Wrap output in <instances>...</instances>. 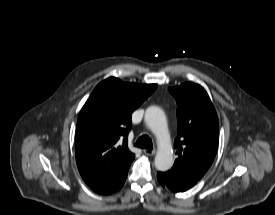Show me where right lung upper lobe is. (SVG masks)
<instances>
[{"label": "right lung upper lobe", "instance_id": "right-lung-upper-lobe-1", "mask_svg": "<svg viewBox=\"0 0 275 215\" xmlns=\"http://www.w3.org/2000/svg\"><path fill=\"white\" fill-rule=\"evenodd\" d=\"M156 87L110 77L93 90L80 111L75 132L76 162L87 185L128 171L135 157L127 145L131 114Z\"/></svg>", "mask_w": 275, "mask_h": 215}]
</instances>
